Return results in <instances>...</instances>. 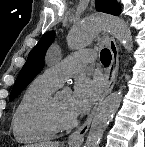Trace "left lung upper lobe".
<instances>
[{
	"label": "left lung upper lobe",
	"mask_w": 145,
	"mask_h": 147,
	"mask_svg": "<svg viewBox=\"0 0 145 147\" xmlns=\"http://www.w3.org/2000/svg\"><path fill=\"white\" fill-rule=\"evenodd\" d=\"M96 9L97 11L112 15H119L121 13V6L116 2V0H96ZM54 38V31L44 34L38 44L31 50L25 65L21 69L15 81L9 96L10 101L17 97L40 73L44 66L45 53Z\"/></svg>",
	"instance_id": "1"
}]
</instances>
